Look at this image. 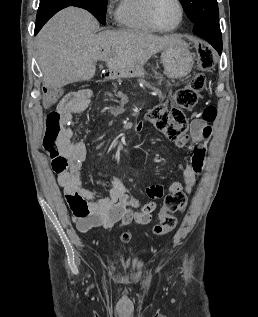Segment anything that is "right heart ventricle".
<instances>
[{
  "mask_svg": "<svg viewBox=\"0 0 258 317\" xmlns=\"http://www.w3.org/2000/svg\"><path fill=\"white\" fill-rule=\"evenodd\" d=\"M150 0H118L115 8V21L126 31L151 34L156 30L146 19V7Z\"/></svg>",
  "mask_w": 258,
  "mask_h": 317,
  "instance_id": "1",
  "label": "right heart ventricle"
}]
</instances>
